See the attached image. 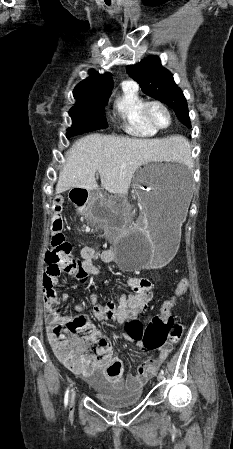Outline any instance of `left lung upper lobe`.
I'll list each match as a JSON object with an SVG mask.
<instances>
[{
  "instance_id": "obj_1",
  "label": "left lung upper lobe",
  "mask_w": 233,
  "mask_h": 449,
  "mask_svg": "<svg viewBox=\"0 0 233 449\" xmlns=\"http://www.w3.org/2000/svg\"><path fill=\"white\" fill-rule=\"evenodd\" d=\"M126 70L145 94L169 105L178 119L191 128L186 98L158 57L149 56L136 65L127 66Z\"/></svg>"
}]
</instances>
